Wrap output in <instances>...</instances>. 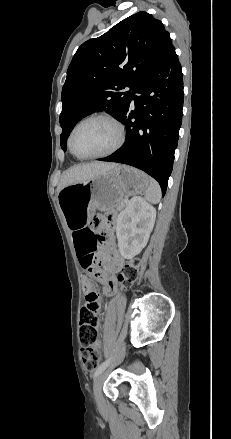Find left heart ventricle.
<instances>
[{
    "instance_id": "obj_1",
    "label": "left heart ventricle",
    "mask_w": 231,
    "mask_h": 439,
    "mask_svg": "<svg viewBox=\"0 0 231 439\" xmlns=\"http://www.w3.org/2000/svg\"><path fill=\"white\" fill-rule=\"evenodd\" d=\"M117 139L115 127L104 119L83 123L73 137V148L79 155H91L111 148Z\"/></svg>"
}]
</instances>
